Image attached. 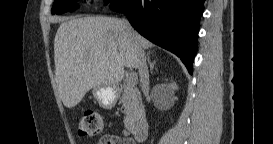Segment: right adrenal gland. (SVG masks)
Instances as JSON below:
<instances>
[{
  "label": "right adrenal gland",
  "instance_id": "obj_1",
  "mask_svg": "<svg viewBox=\"0 0 273 144\" xmlns=\"http://www.w3.org/2000/svg\"><path fill=\"white\" fill-rule=\"evenodd\" d=\"M150 52L151 51H149L148 53H147V61H148V64H149V66H150V72H151V74H152V72H153V68H154V65H155V61H151V59H150Z\"/></svg>",
  "mask_w": 273,
  "mask_h": 144
}]
</instances>
